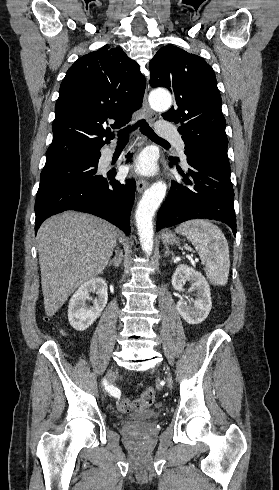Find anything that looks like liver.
<instances>
[{"label":"liver","instance_id":"1","mask_svg":"<svg viewBox=\"0 0 279 490\" xmlns=\"http://www.w3.org/2000/svg\"><path fill=\"white\" fill-rule=\"evenodd\" d=\"M120 234L105 220L71 210L43 222L36 240L48 318L76 288L103 274Z\"/></svg>","mask_w":279,"mask_h":490}]
</instances>
